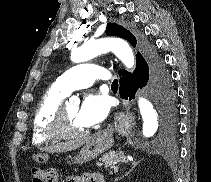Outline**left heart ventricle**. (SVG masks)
Here are the masks:
<instances>
[{
	"mask_svg": "<svg viewBox=\"0 0 211 182\" xmlns=\"http://www.w3.org/2000/svg\"><path fill=\"white\" fill-rule=\"evenodd\" d=\"M64 111H65L67 126L70 131L77 132L86 129V127L82 125L77 118L78 106L66 105L64 107Z\"/></svg>",
	"mask_w": 211,
	"mask_h": 182,
	"instance_id": "1",
	"label": "left heart ventricle"
}]
</instances>
